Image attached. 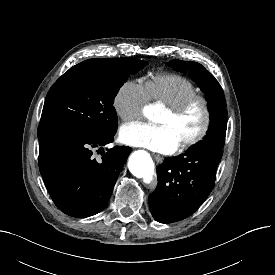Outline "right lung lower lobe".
<instances>
[{
    "label": "right lung lower lobe",
    "mask_w": 275,
    "mask_h": 275,
    "mask_svg": "<svg viewBox=\"0 0 275 275\" xmlns=\"http://www.w3.org/2000/svg\"><path fill=\"white\" fill-rule=\"evenodd\" d=\"M114 133L64 137L40 142L39 168L46 188L67 215L85 218L99 213L113 191L130 147L102 148ZM102 157L95 158L94 150Z\"/></svg>",
    "instance_id": "obj_1"
}]
</instances>
